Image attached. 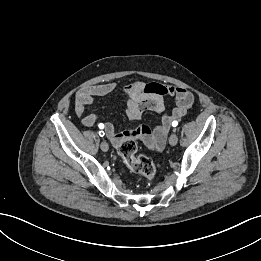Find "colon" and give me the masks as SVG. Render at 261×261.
Returning <instances> with one entry per match:
<instances>
[{"instance_id":"obj_1","label":"colon","mask_w":261,"mask_h":261,"mask_svg":"<svg viewBox=\"0 0 261 261\" xmlns=\"http://www.w3.org/2000/svg\"><path fill=\"white\" fill-rule=\"evenodd\" d=\"M117 150L124 163L132 172L139 174L148 181L154 179L156 167L150 158L136 154L137 144L133 137L125 138L118 145Z\"/></svg>"}]
</instances>
